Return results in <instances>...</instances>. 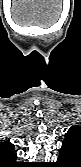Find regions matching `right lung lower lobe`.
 Segmentation results:
<instances>
[{
	"label": "right lung lower lobe",
	"mask_w": 81,
	"mask_h": 167,
	"mask_svg": "<svg viewBox=\"0 0 81 167\" xmlns=\"http://www.w3.org/2000/svg\"><path fill=\"white\" fill-rule=\"evenodd\" d=\"M21 166H22V164L17 163V164H15V165H12L11 167H21Z\"/></svg>",
	"instance_id": "obj_1"
}]
</instances>
